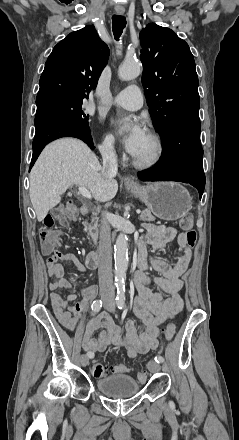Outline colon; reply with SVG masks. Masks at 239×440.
<instances>
[{"label":"colon","mask_w":239,"mask_h":440,"mask_svg":"<svg viewBox=\"0 0 239 440\" xmlns=\"http://www.w3.org/2000/svg\"><path fill=\"white\" fill-rule=\"evenodd\" d=\"M78 217L76 207L73 203H67L64 206H59L55 209L52 217H49L45 221V227L41 232V246L44 253H51L58 243L59 233L53 228L54 219L58 220L62 224H68L75 221ZM194 219L193 215L188 213L180 219V227L186 231V238L189 245L194 246L196 243L197 234L193 229ZM176 332L175 325L173 323L166 326L164 329L165 337L167 341L173 339ZM127 371V366L124 364H117L114 366H105L98 361H94L91 365V373L94 377L100 378L109 375L112 372L123 373ZM146 375L144 372L138 373V380L144 381Z\"/></svg>","instance_id":"5ec220e1"}]
</instances>
